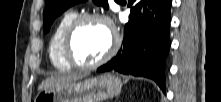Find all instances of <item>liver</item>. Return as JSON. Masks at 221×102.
Wrapping results in <instances>:
<instances>
[{
    "instance_id": "6515ba94",
    "label": "liver",
    "mask_w": 221,
    "mask_h": 102,
    "mask_svg": "<svg viewBox=\"0 0 221 102\" xmlns=\"http://www.w3.org/2000/svg\"><path fill=\"white\" fill-rule=\"evenodd\" d=\"M80 78H82L81 75H59V76L50 77L46 79L45 81H43L39 85L38 89L42 91L44 89L57 87V86H61V85L76 81Z\"/></svg>"
}]
</instances>
